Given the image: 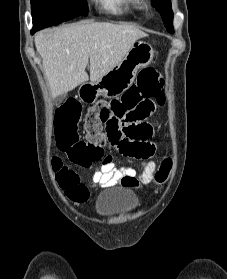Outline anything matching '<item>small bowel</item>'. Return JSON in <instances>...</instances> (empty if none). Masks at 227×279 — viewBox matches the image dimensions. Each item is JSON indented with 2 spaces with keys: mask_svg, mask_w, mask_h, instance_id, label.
I'll return each mask as SVG.
<instances>
[{
  "mask_svg": "<svg viewBox=\"0 0 227 279\" xmlns=\"http://www.w3.org/2000/svg\"><path fill=\"white\" fill-rule=\"evenodd\" d=\"M142 123L144 122H137V124ZM111 141L113 146L122 155L128 156L126 144H130L132 141L126 138L123 132H120L118 137L111 139ZM154 169L155 163L149 161L144 164L142 172L137 174L134 168L130 166H118L112 156L106 155L102 159L100 166L94 171L89 185L78 191L74 200L78 203L85 202L89 197L90 188L95 186L107 188L121 183L126 186L136 187L148 184L152 180ZM133 181H137V184H133Z\"/></svg>",
  "mask_w": 227,
  "mask_h": 279,
  "instance_id": "small-bowel-1",
  "label": "small bowel"
}]
</instances>
